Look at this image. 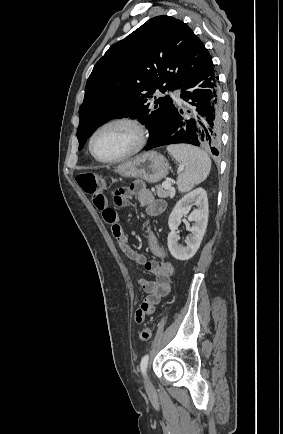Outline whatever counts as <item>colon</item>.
Returning a JSON list of instances; mask_svg holds the SVG:
<instances>
[{
	"instance_id": "5ec220e1",
	"label": "colon",
	"mask_w": 283,
	"mask_h": 434,
	"mask_svg": "<svg viewBox=\"0 0 283 434\" xmlns=\"http://www.w3.org/2000/svg\"><path fill=\"white\" fill-rule=\"evenodd\" d=\"M76 180L81 189L90 195L100 192L102 188V179L99 174L94 172H81L76 176ZM152 335V329L145 327L140 331L139 338L141 341L146 342Z\"/></svg>"
}]
</instances>
